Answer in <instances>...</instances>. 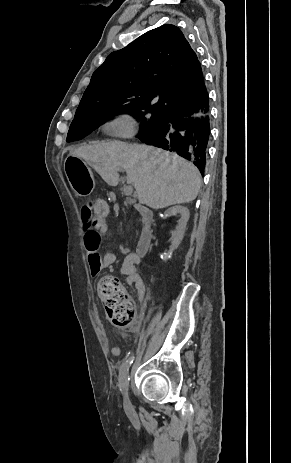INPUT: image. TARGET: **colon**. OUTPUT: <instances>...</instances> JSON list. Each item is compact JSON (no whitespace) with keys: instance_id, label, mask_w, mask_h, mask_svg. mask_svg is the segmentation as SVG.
Here are the masks:
<instances>
[{"instance_id":"obj_1","label":"colon","mask_w":291,"mask_h":463,"mask_svg":"<svg viewBox=\"0 0 291 463\" xmlns=\"http://www.w3.org/2000/svg\"><path fill=\"white\" fill-rule=\"evenodd\" d=\"M82 218L87 229H92L97 217H108L109 209L102 199H93L82 206ZM98 294L109 319L118 327L129 326L135 318V306L121 281L115 276H105L98 283Z\"/></svg>"}]
</instances>
